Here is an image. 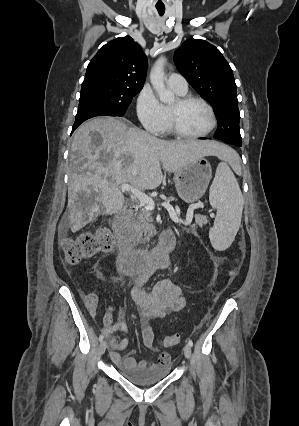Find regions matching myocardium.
Returning <instances> with one entry per match:
<instances>
[{
  "instance_id": "myocardium-1",
  "label": "myocardium",
  "mask_w": 299,
  "mask_h": 426,
  "mask_svg": "<svg viewBox=\"0 0 299 426\" xmlns=\"http://www.w3.org/2000/svg\"><path fill=\"white\" fill-rule=\"evenodd\" d=\"M190 102H199L202 105H204L206 107V109L208 110L209 114H210V118H211V123L209 128L202 132V133H198V134H192V133H188L186 131H184L179 123V110L180 108H182L183 106H185L186 104L190 103ZM169 117H170V125H171V129L172 131L178 135L179 137L182 138H187V139H198V138H203L208 136L216 127L217 125V117H216V113L213 109V107L211 106V104L205 100L204 98L200 97V96H195V95H183L180 96L176 99V103L175 106H170L169 107Z\"/></svg>"
}]
</instances>
